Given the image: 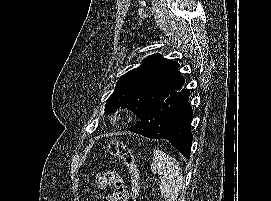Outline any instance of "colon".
Segmentation results:
<instances>
[{
    "label": "colon",
    "instance_id": "1",
    "mask_svg": "<svg viewBox=\"0 0 271 201\" xmlns=\"http://www.w3.org/2000/svg\"><path fill=\"white\" fill-rule=\"evenodd\" d=\"M107 152L109 155L122 160L131 177L133 191L137 192L139 189V170L129 145L120 141H111L107 146Z\"/></svg>",
    "mask_w": 271,
    "mask_h": 201
}]
</instances>
